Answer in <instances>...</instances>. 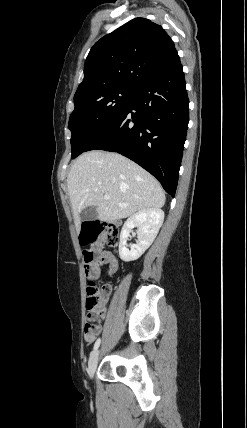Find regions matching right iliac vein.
I'll list each match as a JSON object with an SVG mask.
<instances>
[{
    "label": "right iliac vein",
    "mask_w": 247,
    "mask_h": 428,
    "mask_svg": "<svg viewBox=\"0 0 247 428\" xmlns=\"http://www.w3.org/2000/svg\"><path fill=\"white\" fill-rule=\"evenodd\" d=\"M98 359H99V350H96L91 354L88 362V374L91 379L94 377L97 364H98Z\"/></svg>",
    "instance_id": "obj_1"
}]
</instances>
